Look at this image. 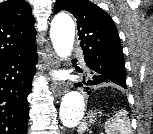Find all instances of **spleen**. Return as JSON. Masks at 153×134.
<instances>
[{"mask_svg": "<svg viewBox=\"0 0 153 134\" xmlns=\"http://www.w3.org/2000/svg\"><path fill=\"white\" fill-rule=\"evenodd\" d=\"M86 130V123H82L78 127V132L82 134ZM106 134H133L130 119L125 109H120L116 114L105 122Z\"/></svg>", "mask_w": 153, "mask_h": 134, "instance_id": "obj_1", "label": "spleen"}]
</instances>
